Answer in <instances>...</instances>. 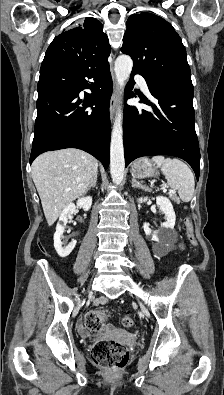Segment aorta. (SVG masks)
<instances>
[{
    "instance_id": "762f6f07",
    "label": "aorta",
    "mask_w": 224,
    "mask_h": 395,
    "mask_svg": "<svg viewBox=\"0 0 224 395\" xmlns=\"http://www.w3.org/2000/svg\"><path fill=\"white\" fill-rule=\"evenodd\" d=\"M132 67L133 61L130 56L120 55L117 57L114 71L117 83L122 91H124L125 83L130 76ZM122 118L123 113L121 109L118 108L110 143V173L113 183L117 185L122 182L125 169Z\"/></svg>"
}]
</instances>
